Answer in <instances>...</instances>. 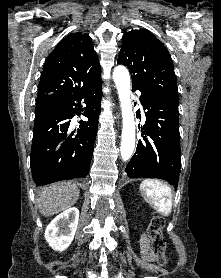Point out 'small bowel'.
Segmentation results:
<instances>
[{"mask_svg":"<svg viewBox=\"0 0 221 278\" xmlns=\"http://www.w3.org/2000/svg\"><path fill=\"white\" fill-rule=\"evenodd\" d=\"M141 248H142V254L145 259L149 261H153L155 258L153 254L150 252L149 249V238L146 234H143L141 237Z\"/></svg>","mask_w":221,"mask_h":278,"instance_id":"small-bowel-1","label":"small bowel"}]
</instances>
